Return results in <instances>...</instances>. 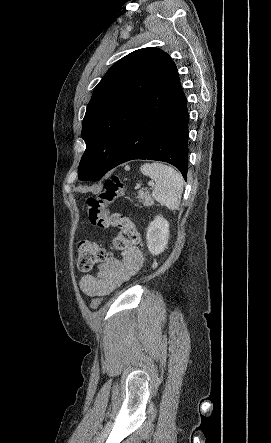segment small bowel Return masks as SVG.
Listing matches in <instances>:
<instances>
[{
    "mask_svg": "<svg viewBox=\"0 0 271 443\" xmlns=\"http://www.w3.org/2000/svg\"><path fill=\"white\" fill-rule=\"evenodd\" d=\"M143 260L142 252L136 247L123 251L120 258L108 256L95 273L81 278L80 288L89 296H106L136 275Z\"/></svg>",
    "mask_w": 271,
    "mask_h": 443,
    "instance_id": "obj_1",
    "label": "small bowel"
}]
</instances>
